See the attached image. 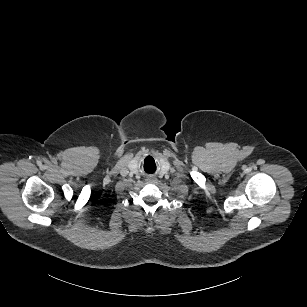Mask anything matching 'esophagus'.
<instances>
[{
	"label": "esophagus",
	"instance_id": "34e87169",
	"mask_svg": "<svg viewBox=\"0 0 307 307\" xmlns=\"http://www.w3.org/2000/svg\"><path fill=\"white\" fill-rule=\"evenodd\" d=\"M146 181L148 183H157L158 179L155 176H150V177H147Z\"/></svg>",
	"mask_w": 307,
	"mask_h": 307
}]
</instances>
